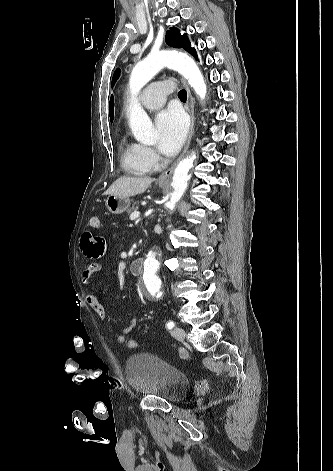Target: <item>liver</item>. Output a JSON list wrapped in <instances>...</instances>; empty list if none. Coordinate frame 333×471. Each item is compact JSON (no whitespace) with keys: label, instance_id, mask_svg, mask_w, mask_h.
<instances>
[{"label":"liver","instance_id":"liver-1","mask_svg":"<svg viewBox=\"0 0 333 471\" xmlns=\"http://www.w3.org/2000/svg\"><path fill=\"white\" fill-rule=\"evenodd\" d=\"M154 181L150 177H120L107 189L105 195L122 197L134 196L144 193L148 186Z\"/></svg>","mask_w":333,"mask_h":471}]
</instances>
